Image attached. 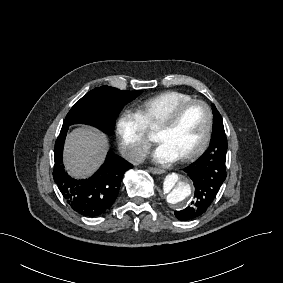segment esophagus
Instances as JSON below:
<instances>
[{"label": "esophagus", "instance_id": "34e87169", "mask_svg": "<svg viewBox=\"0 0 283 283\" xmlns=\"http://www.w3.org/2000/svg\"><path fill=\"white\" fill-rule=\"evenodd\" d=\"M150 172L153 174H163L165 171L161 168H155V167H149L148 168Z\"/></svg>", "mask_w": 283, "mask_h": 283}]
</instances>
